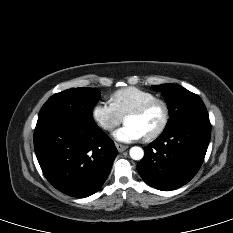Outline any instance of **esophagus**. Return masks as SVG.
<instances>
[{"label":"esophagus","instance_id":"1","mask_svg":"<svg viewBox=\"0 0 233 233\" xmlns=\"http://www.w3.org/2000/svg\"><path fill=\"white\" fill-rule=\"evenodd\" d=\"M116 148H117L118 152H123V151H125L126 149H128V146L122 145V144H120V143H116Z\"/></svg>","mask_w":233,"mask_h":233}]
</instances>
